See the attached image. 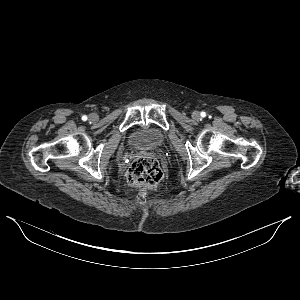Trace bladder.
Listing matches in <instances>:
<instances>
[{"label": "bladder", "mask_w": 300, "mask_h": 300, "mask_svg": "<svg viewBox=\"0 0 300 300\" xmlns=\"http://www.w3.org/2000/svg\"><path fill=\"white\" fill-rule=\"evenodd\" d=\"M166 142V134L154 125H144L136 129L129 137L130 145L137 150H151Z\"/></svg>", "instance_id": "31cf9c89"}]
</instances>
